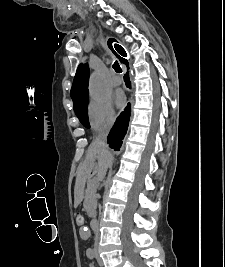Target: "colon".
<instances>
[{"instance_id":"1","label":"colon","mask_w":225,"mask_h":267,"mask_svg":"<svg viewBox=\"0 0 225 267\" xmlns=\"http://www.w3.org/2000/svg\"><path fill=\"white\" fill-rule=\"evenodd\" d=\"M75 222L78 227H82L84 224V217L80 214L76 215Z\"/></svg>"}]
</instances>
